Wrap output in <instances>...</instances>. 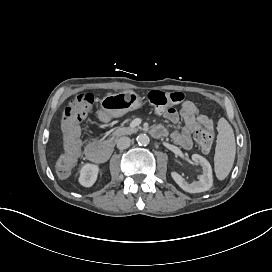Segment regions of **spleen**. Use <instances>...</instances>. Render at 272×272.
I'll return each instance as SVG.
<instances>
[{"mask_svg": "<svg viewBox=\"0 0 272 272\" xmlns=\"http://www.w3.org/2000/svg\"><path fill=\"white\" fill-rule=\"evenodd\" d=\"M214 166L216 177L224 180L230 173L236 154L234 132L225 118H220L217 125Z\"/></svg>", "mask_w": 272, "mask_h": 272, "instance_id": "3e777b00", "label": "spleen"}]
</instances>
